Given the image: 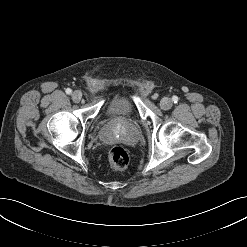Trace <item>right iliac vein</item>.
<instances>
[{
	"label": "right iliac vein",
	"instance_id": "right-iliac-vein-1",
	"mask_svg": "<svg viewBox=\"0 0 247 247\" xmlns=\"http://www.w3.org/2000/svg\"><path fill=\"white\" fill-rule=\"evenodd\" d=\"M82 99V93L80 91H74L72 93V100L76 103L80 102Z\"/></svg>",
	"mask_w": 247,
	"mask_h": 247
}]
</instances>
